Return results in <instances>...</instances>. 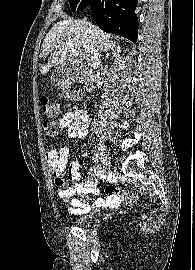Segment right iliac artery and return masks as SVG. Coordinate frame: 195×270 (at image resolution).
Returning a JSON list of instances; mask_svg holds the SVG:
<instances>
[{
  "label": "right iliac artery",
  "instance_id": "right-iliac-artery-1",
  "mask_svg": "<svg viewBox=\"0 0 195 270\" xmlns=\"http://www.w3.org/2000/svg\"><path fill=\"white\" fill-rule=\"evenodd\" d=\"M95 156H96L95 163H97V164H98V162H99V159H98V154H95ZM95 171H96V169H95Z\"/></svg>",
  "mask_w": 195,
  "mask_h": 270
}]
</instances>
